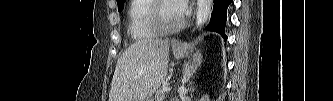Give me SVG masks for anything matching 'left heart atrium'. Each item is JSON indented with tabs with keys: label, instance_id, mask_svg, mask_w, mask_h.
I'll return each mask as SVG.
<instances>
[{
	"label": "left heart atrium",
	"instance_id": "39dd6f15",
	"mask_svg": "<svg viewBox=\"0 0 333 101\" xmlns=\"http://www.w3.org/2000/svg\"><path fill=\"white\" fill-rule=\"evenodd\" d=\"M174 5L177 9V11L181 14L184 15L187 11V5H188V1L186 0H178L174 2Z\"/></svg>",
	"mask_w": 333,
	"mask_h": 101
}]
</instances>
